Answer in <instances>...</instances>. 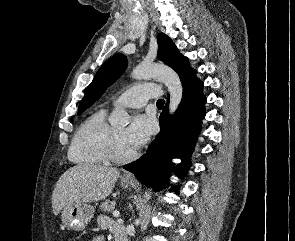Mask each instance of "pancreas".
Instances as JSON below:
<instances>
[{
	"instance_id": "1",
	"label": "pancreas",
	"mask_w": 295,
	"mask_h": 241,
	"mask_svg": "<svg viewBox=\"0 0 295 241\" xmlns=\"http://www.w3.org/2000/svg\"><path fill=\"white\" fill-rule=\"evenodd\" d=\"M115 208V202H112L110 200H105L100 205V211L101 212H110Z\"/></svg>"
}]
</instances>
